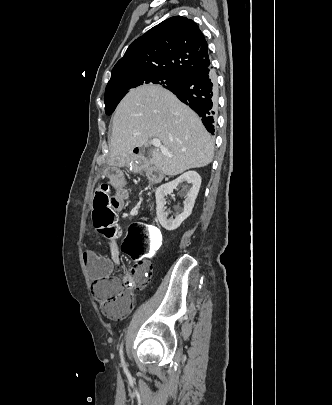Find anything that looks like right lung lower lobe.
<instances>
[{
  "label": "right lung lower lobe",
  "instance_id": "right-lung-lower-lobe-1",
  "mask_svg": "<svg viewBox=\"0 0 332 405\" xmlns=\"http://www.w3.org/2000/svg\"><path fill=\"white\" fill-rule=\"evenodd\" d=\"M167 89L202 117L207 131L214 134L217 84L210 64L185 75L178 84Z\"/></svg>",
  "mask_w": 332,
  "mask_h": 405
}]
</instances>
